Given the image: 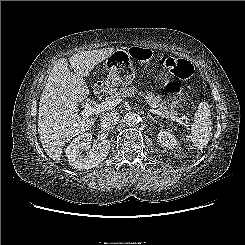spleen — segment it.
<instances>
[{
  "instance_id": "obj_1",
  "label": "spleen",
  "mask_w": 245,
  "mask_h": 245,
  "mask_svg": "<svg viewBox=\"0 0 245 245\" xmlns=\"http://www.w3.org/2000/svg\"><path fill=\"white\" fill-rule=\"evenodd\" d=\"M212 120L209 104L201 102L194 116V123L191 134L183 136V139L190 140L198 149L208 145L211 135Z\"/></svg>"
}]
</instances>
